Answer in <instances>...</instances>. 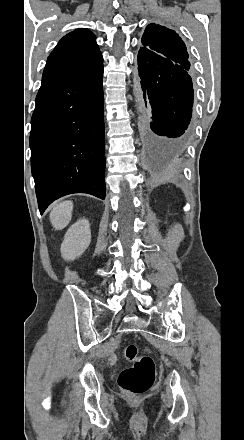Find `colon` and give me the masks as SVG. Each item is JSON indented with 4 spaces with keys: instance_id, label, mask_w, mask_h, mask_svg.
<instances>
[{
    "instance_id": "5ec220e1",
    "label": "colon",
    "mask_w": 244,
    "mask_h": 440,
    "mask_svg": "<svg viewBox=\"0 0 244 440\" xmlns=\"http://www.w3.org/2000/svg\"><path fill=\"white\" fill-rule=\"evenodd\" d=\"M123 358L128 362H135L133 369L124 370L119 376L122 391L131 398L146 393L155 381V365L152 357L140 351L135 344L127 345Z\"/></svg>"
}]
</instances>
